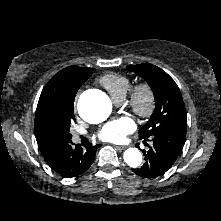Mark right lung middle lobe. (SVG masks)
Masks as SVG:
<instances>
[{
    "instance_id": "right-lung-middle-lobe-1",
    "label": "right lung middle lobe",
    "mask_w": 221,
    "mask_h": 221,
    "mask_svg": "<svg viewBox=\"0 0 221 221\" xmlns=\"http://www.w3.org/2000/svg\"><path fill=\"white\" fill-rule=\"evenodd\" d=\"M73 121H75L74 110L68 107L59 108L57 111L46 113L42 117L46 129L60 142L71 140L72 135L69 131Z\"/></svg>"
}]
</instances>
